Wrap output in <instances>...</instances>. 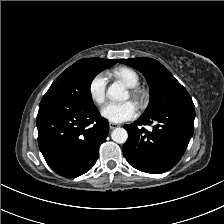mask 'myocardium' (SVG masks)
<instances>
[{
	"instance_id": "myocardium-1",
	"label": "myocardium",
	"mask_w": 224,
	"mask_h": 224,
	"mask_svg": "<svg viewBox=\"0 0 224 224\" xmlns=\"http://www.w3.org/2000/svg\"><path fill=\"white\" fill-rule=\"evenodd\" d=\"M129 96L134 100L139 106L145 105L147 101V95L144 90L139 87L129 88Z\"/></svg>"
}]
</instances>
